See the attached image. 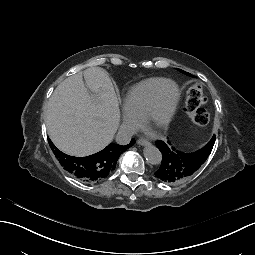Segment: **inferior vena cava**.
<instances>
[{
    "label": "inferior vena cava",
    "instance_id": "inferior-vena-cava-1",
    "mask_svg": "<svg viewBox=\"0 0 255 255\" xmlns=\"http://www.w3.org/2000/svg\"><path fill=\"white\" fill-rule=\"evenodd\" d=\"M137 133V129L131 125H121L116 136L119 144H128L131 137Z\"/></svg>",
    "mask_w": 255,
    "mask_h": 255
}]
</instances>
